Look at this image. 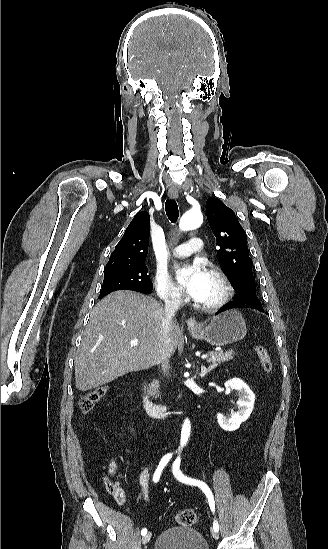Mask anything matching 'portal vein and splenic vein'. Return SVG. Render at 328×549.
I'll return each mask as SVG.
<instances>
[{
	"label": "portal vein and splenic vein",
	"mask_w": 328,
	"mask_h": 549,
	"mask_svg": "<svg viewBox=\"0 0 328 549\" xmlns=\"http://www.w3.org/2000/svg\"><path fill=\"white\" fill-rule=\"evenodd\" d=\"M130 345H131V347H136V345H138V341H136V339H134V341H130ZM202 357H204V359H209L208 354H202Z\"/></svg>",
	"instance_id": "18ae733b"
}]
</instances>
